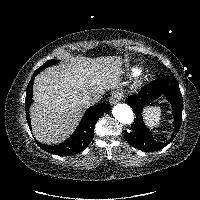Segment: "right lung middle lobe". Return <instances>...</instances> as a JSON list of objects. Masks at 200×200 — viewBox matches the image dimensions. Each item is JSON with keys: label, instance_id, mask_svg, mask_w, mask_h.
<instances>
[{"label": "right lung middle lobe", "instance_id": "obj_1", "mask_svg": "<svg viewBox=\"0 0 200 200\" xmlns=\"http://www.w3.org/2000/svg\"><path fill=\"white\" fill-rule=\"evenodd\" d=\"M56 62H57V61L54 60V59L47 61L46 63H44L40 68H38V69L35 71L34 75H38L42 70H44L45 68H47V67H49V66H51V65L56 64Z\"/></svg>", "mask_w": 200, "mask_h": 200}]
</instances>
